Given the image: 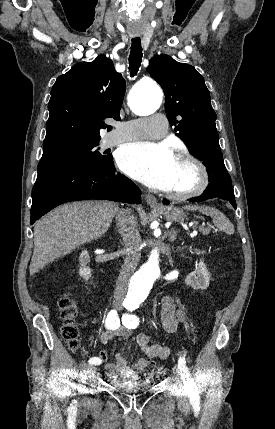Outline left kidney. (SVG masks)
I'll use <instances>...</instances> for the list:
<instances>
[{
  "label": "left kidney",
  "instance_id": "obj_1",
  "mask_svg": "<svg viewBox=\"0 0 275 429\" xmlns=\"http://www.w3.org/2000/svg\"><path fill=\"white\" fill-rule=\"evenodd\" d=\"M210 277L206 264L201 260L195 271L186 276L185 284L195 290H206L210 284Z\"/></svg>",
  "mask_w": 275,
  "mask_h": 429
}]
</instances>
